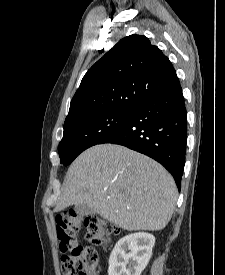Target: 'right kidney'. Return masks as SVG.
I'll return each mask as SVG.
<instances>
[{"label": "right kidney", "instance_id": "obj_1", "mask_svg": "<svg viewBox=\"0 0 225 275\" xmlns=\"http://www.w3.org/2000/svg\"><path fill=\"white\" fill-rule=\"evenodd\" d=\"M154 244L155 237L146 232L121 238L110 254L108 275H141L151 258Z\"/></svg>", "mask_w": 225, "mask_h": 275}]
</instances>
